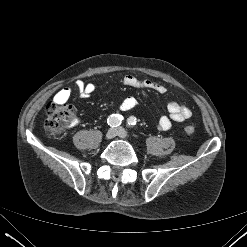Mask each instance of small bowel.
Listing matches in <instances>:
<instances>
[{
  "instance_id": "obj_1",
  "label": "small bowel",
  "mask_w": 247,
  "mask_h": 247,
  "mask_svg": "<svg viewBox=\"0 0 247 247\" xmlns=\"http://www.w3.org/2000/svg\"><path fill=\"white\" fill-rule=\"evenodd\" d=\"M123 84L128 87L136 89H149L158 93H165L167 88L164 84L155 82L152 80H141L134 75H126L123 78ZM76 88L82 98H88L95 91V85L93 83H84L83 81L76 82ZM71 95L70 88H62L54 96V102L65 103ZM137 105V100L134 97H127L120 104V111L126 112L133 109ZM168 115L160 117L158 122V129L161 131L169 130L172 126V122H183L190 118L192 112L190 108L177 101H170L167 104Z\"/></svg>"
}]
</instances>
